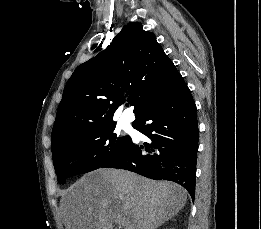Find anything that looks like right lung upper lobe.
<instances>
[{
    "label": "right lung upper lobe",
    "instance_id": "obj_1",
    "mask_svg": "<svg viewBox=\"0 0 261 229\" xmlns=\"http://www.w3.org/2000/svg\"><path fill=\"white\" fill-rule=\"evenodd\" d=\"M182 78L155 35L138 22L125 25L96 57L76 68L68 80L52 130L54 150L74 130L112 125L125 100L135 106L136 124Z\"/></svg>",
    "mask_w": 261,
    "mask_h": 229
}]
</instances>
